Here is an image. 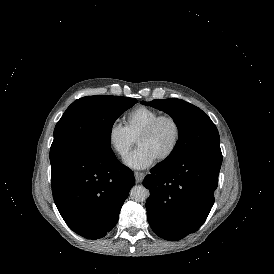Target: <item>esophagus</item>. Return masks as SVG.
<instances>
[{
  "label": "esophagus",
  "instance_id": "34e87169",
  "mask_svg": "<svg viewBox=\"0 0 274 274\" xmlns=\"http://www.w3.org/2000/svg\"><path fill=\"white\" fill-rule=\"evenodd\" d=\"M134 175H135L136 182L138 183L141 182L145 176L143 172H138V171H136Z\"/></svg>",
  "mask_w": 274,
  "mask_h": 274
}]
</instances>
